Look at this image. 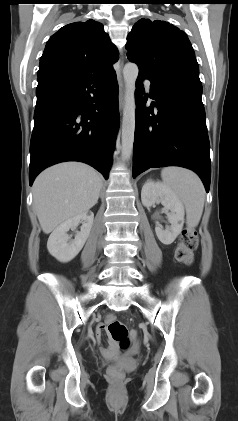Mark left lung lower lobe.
Returning a JSON list of instances; mask_svg holds the SVG:
<instances>
[{
	"label": "left lung lower lobe",
	"mask_w": 238,
	"mask_h": 421,
	"mask_svg": "<svg viewBox=\"0 0 238 421\" xmlns=\"http://www.w3.org/2000/svg\"><path fill=\"white\" fill-rule=\"evenodd\" d=\"M143 79L151 81L150 97L156 100L148 108L144 107L147 100L143 97ZM136 105L133 178L150 167L181 166L196 172L208 192L210 145L199 75L152 80L139 74Z\"/></svg>",
	"instance_id": "1"
}]
</instances>
